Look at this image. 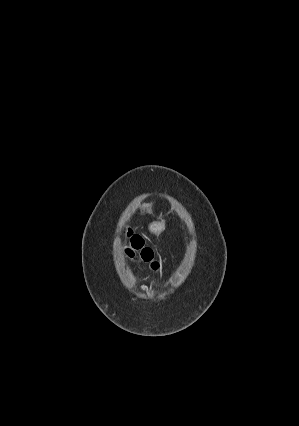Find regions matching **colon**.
<instances>
[{"label": "colon", "mask_w": 299, "mask_h": 426, "mask_svg": "<svg viewBox=\"0 0 299 426\" xmlns=\"http://www.w3.org/2000/svg\"><path fill=\"white\" fill-rule=\"evenodd\" d=\"M125 236L127 255L132 259H136L147 270L156 271L159 268V263L155 260L152 248L146 246L142 237L131 230H126Z\"/></svg>", "instance_id": "obj_1"}]
</instances>
